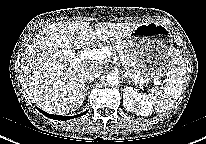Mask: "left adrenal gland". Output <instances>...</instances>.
<instances>
[{
	"mask_svg": "<svg viewBox=\"0 0 206 144\" xmlns=\"http://www.w3.org/2000/svg\"><path fill=\"white\" fill-rule=\"evenodd\" d=\"M123 77L126 78L128 83H131V80L129 79V77L126 74H124Z\"/></svg>",
	"mask_w": 206,
	"mask_h": 144,
	"instance_id": "a2214340",
	"label": "left adrenal gland"
}]
</instances>
